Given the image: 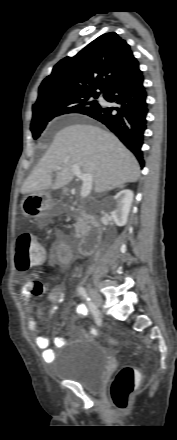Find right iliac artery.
Returning <instances> with one entry per match:
<instances>
[{"instance_id": "obj_1", "label": "right iliac artery", "mask_w": 177, "mask_h": 440, "mask_svg": "<svg viewBox=\"0 0 177 440\" xmlns=\"http://www.w3.org/2000/svg\"><path fill=\"white\" fill-rule=\"evenodd\" d=\"M78 293L86 300L87 305L95 319V322L98 326H101L102 321L100 318V312L97 309L96 305L92 302L91 298L88 296V293L84 287H78Z\"/></svg>"}]
</instances>
